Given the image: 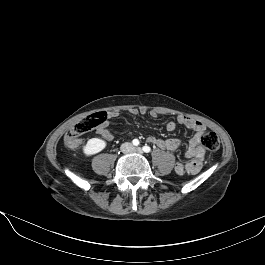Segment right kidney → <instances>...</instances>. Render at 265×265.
Here are the masks:
<instances>
[{"label":"right kidney","mask_w":265,"mask_h":265,"mask_svg":"<svg viewBox=\"0 0 265 265\" xmlns=\"http://www.w3.org/2000/svg\"><path fill=\"white\" fill-rule=\"evenodd\" d=\"M106 147V142L99 138H91L83 146V153L86 156H91L101 152Z\"/></svg>","instance_id":"obj_1"}]
</instances>
